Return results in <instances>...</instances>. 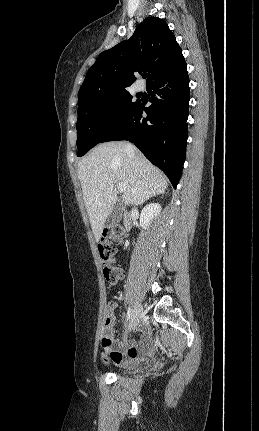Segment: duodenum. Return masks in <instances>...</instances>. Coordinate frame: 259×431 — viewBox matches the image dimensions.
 <instances>
[{
  "label": "duodenum",
  "instance_id": "obj_1",
  "mask_svg": "<svg viewBox=\"0 0 259 431\" xmlns=\"http://www.w3.org/2000/svg\"><path fill=\"white\" fill-rule=\"evenodd\" d=\"M131 224H132V222H131L130 216L128 214H124V217H123V226H124V228L126 230L130 229Z\"/></svg>",
  "mask_w": 259,
  "mask_h": 431
}]
</instances>
